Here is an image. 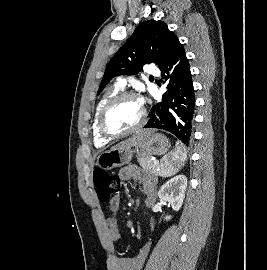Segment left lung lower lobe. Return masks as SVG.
<instances>
[{
	"mask_svg": "<svg viewBox=\"0 0 267 270\" xmlns=\"http://www.w3.org/2000/svg\"><path fill=\"white\" fill-rule=\"evenodd\" d=\"M167 92L162 102L150 110V119L144 128L166 130L188 146L192 140L195 97L188 59L178 41L168 59L160 68Z\"/></svg>",
	"mask_w": 267,
	"mask_h": 270,
	"instance_id": "obj_1",
	"label": "left lung lower lobe"
}]
</instances>
